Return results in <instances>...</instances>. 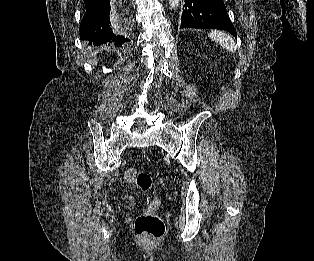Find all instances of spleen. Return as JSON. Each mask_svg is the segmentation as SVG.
<instances>
[{
  "label": "spleen",
  "instance_id": "1",
  "mask_svg": "<svg viewBox=\"0 0 314 261\" xmlns=\"http://www.w3.org/2000/svg\"><path fill=\"white\" fill-rule=\"evenodd\" d=\"M209 38L218 43L223 48L234 53L236 51V44L232 37L222 31H211L208 34Z\"/></svg>",
  "mask_w": 314,
  "mask_h": 261
}]
</instances>
